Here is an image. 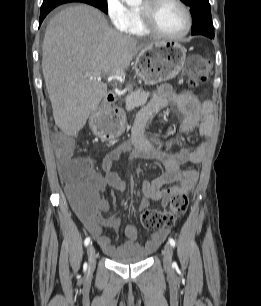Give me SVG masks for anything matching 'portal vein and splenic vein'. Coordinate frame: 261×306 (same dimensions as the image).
<instances>
[{
	"mask_svg": "<svg viewBox=\"0 0 261 306\" xmlns=\"http://www.w3.org/2000/svg\"><path fill=\"white\" fill-rule=\"evenodd\" d=\"M101 73H94L92 75V77H96L97 80H101ZM104 75H107L108 78H112V79H118L120 77H122L124 75V71H121V70H116V71H113L112 73H108V74H104Z\"/></svg>",
	"mask_w": 261,
	"mask_h": 306,
	"instance_id": "18ae733b",
	"label": "portal vein and splenic vein"
}]
</instances>
